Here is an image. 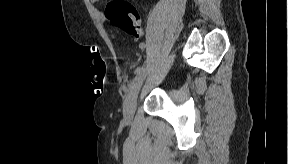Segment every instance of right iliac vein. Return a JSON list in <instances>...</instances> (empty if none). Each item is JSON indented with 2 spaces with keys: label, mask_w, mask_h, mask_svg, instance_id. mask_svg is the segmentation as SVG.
Masks as SVG:
<instances>
[{
  "label": "right iliac vein",
  "mask_w": 288,
  "mask_h": 164,
  "mask_svg": "<svg viewBox=\"0 0 288 164\" xmlns=\"http://www.w3.org/2000/svg\"><path fill=\"white\" fill-rule=\"evenodd\" d=\"M147 74H148V65H145L139 71L136 80L129 91V94L124 104V118L127 121H130L133 118L136 109L137 97Z\"/></svg>",
  "instance_id": "right-iliac-vein-1"
}]
</instances>
